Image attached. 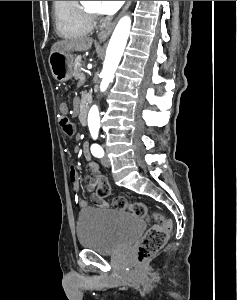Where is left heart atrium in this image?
I'll return each mask as SVG.
<instances>
[{"label":"left heart atrium","mask_w":237,"mask_h":300,"mask_svg":"<svg viewBox=\"0 0 237 300\" xmlns=\"http://www.w3.org/2000/svg\"><path fill=\"white\" fill-rule=\"evenodd\" d=\"M124 1H100V11L110 15L117 12L123 5Z\"/></svg>","instance_id":"left-heart-atrium-1"}]
</instances>
